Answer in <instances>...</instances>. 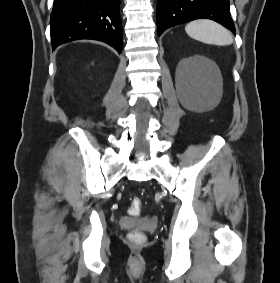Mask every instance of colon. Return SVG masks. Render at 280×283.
Instances as JSON below:
<instances>
[{
	"mask_svg": "<svg viewBox=\"0 0 280 283\" xmlns=\"http://www.w3.org/2000/svg\"><path fill=\"white\" fill-rule=\"evenodd\" d=\"M142 208V201L139 198H134L131 202L130 208H129V213L132 216H137ZM130 236L133 239H141L143 237L142 233L139 231H132L130 233Z\"/></svg>",
	"mask_w": 280,
	"mask_h": 283,
	"instance_id": "colon-1",
	"label": "colon"
}]
</instances>
